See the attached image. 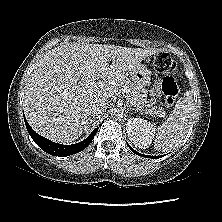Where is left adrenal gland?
Returning <instances> with one entry per match:
<instances>
[{
    "mask_svg": "<svg viewBox=\"0 0 222 222\" xmlns=\"http://www.w3.org/2000/svg\"><path fill=\"white\" fill-rule=\"evenodd\" d=\"M127 110H132V111L138 112V110L133 108L130 104H127Z\"/></svg>",
    "mask_w": 222,
    "mask_h": 222,
    "instance_id": "a2214340",
    "label": "left adrenal gland"
}]
</instances>
